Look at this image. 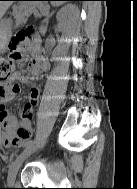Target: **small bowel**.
Listing matches in <instances>:
<instances>
[{"mask_svg":"<svg viewBox=\"0 0 137 189\" xmlns=\"http://www.w3.org/2000/svg\"><path fill=\"white\" fill-rule=\"evenodd\" d=\"M46 69L47 63L44 59L35 60L30 65V76H26L21 72H14L7 83L0 85V138L6 148L22 147L30 137L33 112L29 113L26 106L29 105L33 109L38 103L39 86L31 85L28 101L20 107L19 127L17 119L8 112L7 104L21 92V85H28L32 80L38 79Z\"/></svg>","mask_w":137,"mask_h":189,"instance_id":"obj_1","label":"small bowel"}]
</instances>
